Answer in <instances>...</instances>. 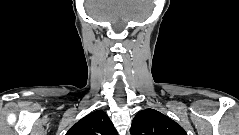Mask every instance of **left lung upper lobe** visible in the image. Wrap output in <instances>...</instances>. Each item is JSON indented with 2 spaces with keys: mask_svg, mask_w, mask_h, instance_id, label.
I'll list each match as a JSON object with an SVG mask.
<instances>
[{
  "mask_svg": "<svg viewBox=\"0 0 239 135\" xmlns=\"http://www.w3.org/2000/svg\"><path fill=\"white\" fill-rule=\"evenodd\" d=\"M130 132L133 135H187L179 124L154 109L138 112Z\"/></svg>",
  "mask_w": 239,
  "mask_h": 135,
  "instance_id": "1",
  "label": "left lung upper lobe"
}]
</instances>
